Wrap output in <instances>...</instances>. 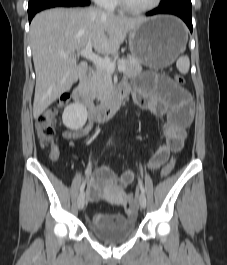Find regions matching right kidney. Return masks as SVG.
<instances>
[{
    "label": "right kidney",
    "instance_id": "ca27d5eb",
    "mask_svg": "<svg viewBox=\"0 0 227 265\" xmlns=\"http://www.w3.org/2000/svg\"><path fill=\"white\" fill-rule=\"evenodd\" d=\"M87 109L80 103L68 105L63 112V124L70 130L81 129L87 121Z\"/></svg>",
    "mask_w": 227,
    "mask_h": 265
}]
</instances>
